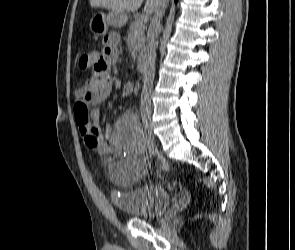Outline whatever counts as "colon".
Here are the masks:
<instances>
[{
	"mask_svg": "<svg viewBox=\"0 0 295 250\" xmlns=\"http://www.w3.org/2000/svg\"><path fill=\"white\" fill-rule=\"evenodd\" d=\"M93 65L91 54H83L79 59V66L82 69H89ZM75 117L78 125L86 126L90 122L91 109L88 103L79 101L75 103Z\"/></svg>",
	"mask_w": 295,
	"mask_h": 250,
	"instance_id": "5ec220e1",
	"label": "colon"
}]
</instances>
